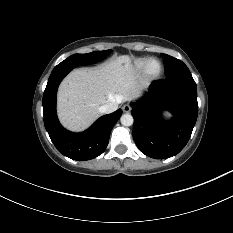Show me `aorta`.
<instances>
[{"instance_id":"obj_1","label":"aorta","mask_w":233,"mask_h":233,"mask_svg":"<svg viewBox=\"0 0 233 233\" xmlns=\"http://www.w3.org/2000/svg\"><path fill=\"white\" fill-rule=\"evenodd\" d=\"M121 124L123 126H131L134 122V119L131 114H123L120 118Z\"/></svg>"}]
</instances>
